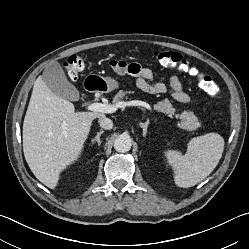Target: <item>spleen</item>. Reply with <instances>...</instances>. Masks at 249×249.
Segmentation results:
<instances>
[{"label": "spleen", "mask_w": 249, "mask_h": 249, "mask_svg": "<svg viewBox=\"0 0 249 249\" xmlns=\"http://www.w3.org/2000/svg\"><path fill=\"white\" fill-rule=\"evenodd\" d=\"M224 150V139L218 133H207L190 140L187 152L165 151L175 172V183L188 188L204 180L219 163Z\"/></svg>", "instance_id": "spleen-1"}]
</instances>
